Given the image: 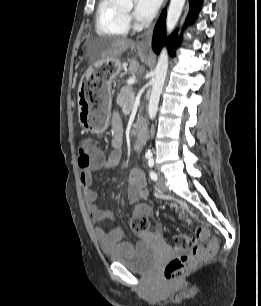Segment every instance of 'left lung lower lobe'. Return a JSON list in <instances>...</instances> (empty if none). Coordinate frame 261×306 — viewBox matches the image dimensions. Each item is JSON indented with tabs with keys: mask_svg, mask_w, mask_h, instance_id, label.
Returning a JSON list of instances; mask_svg holds the SVG:
<instances>
[{
	"mask_svg": "<svg viewBox=\"0 0 261 306\" xmlns=\"http://www.w3.org/2000/svg\"><path fill=\"white\" fill-rule=\"evenodd\" d=\"M190 14L187 18V23L192 22L201 8L202 0H190ZM165 13H163L156 24L153 41H152V48L155 53L159 54L164 42H165ZM181 41V38L177 36L176 33L172 34L168 39V49L170 54H173V48L177 47Z\"/></svg>",
	"mask_w": 261,
	"mask_h": 306,
	"instance_id": "obj_1",
	"label": "left lung lower lobe"
}]
</instances>
